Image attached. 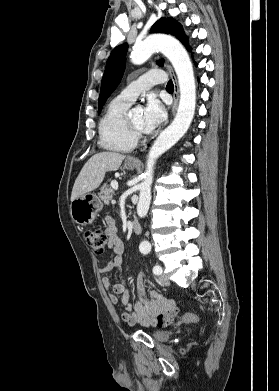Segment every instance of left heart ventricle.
<instances>
[{"label":"left heart ventricle","mask_w":279,"mask_h":391,"mask_svg":"<svg viewBox=\"0 0 279 391\" xmlns=\"http://www.w3.org/2000/svg\"><path fill=\"white\" fill-rule=\"evenodd\" d=\"M130 119L136 125V127H138L140 130H142L144 132L143 113L141 111H138V112L131 114Z\"/></svg>","instance_id":"1"}]
</instances>
